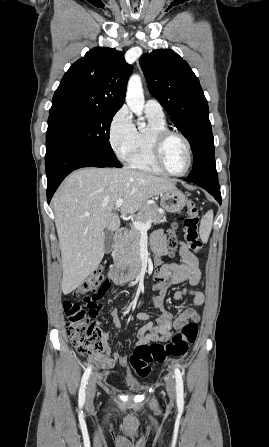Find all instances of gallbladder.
I'll use <instances>...</instances> for the list:
<instances>
[{"mask_svg": "<svg viewBox=\"0 0 269 447\" xmlns=\"http://www.w3.org/2000/svg\"><path fill=\"white\" fill-rule=\"evenodd\" d=\"M113 243H114V233L113 231H110V229H106L105 241H104V251H106V253H110V251H112Z\"/></svg>", "mask_w": 269, "mask_h": 447, "instance_id": "1", "label": "gallbladder"}]
</instances>
